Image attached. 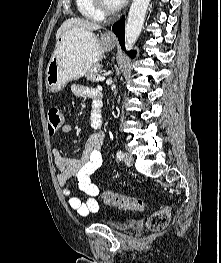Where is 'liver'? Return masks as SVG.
I'll return each instance as SVG.
<instances>
[{"mask_svg": "<svg viewBox=\"0 0 221 263\" xmlns=\"http://www.w3.org/2000/svg\"><path fill=\"white\" fill-rule=\"evenodd\" d=\"M100 28H101L100 25L93 23V22H90V21L85 20V19L75 18V17L69 18L66 21H64L63 24L58 29V31L56 33V39L58 41L59 38L61 37V35L68 30L80 29V30L93 32V31H96Z\"/></svg>", "mask_w": 221, "mask_h": 263, "instance_id": "liver-1", "label": "liver"}]
</instances>
